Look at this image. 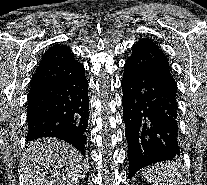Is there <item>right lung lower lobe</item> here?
<instances>
[{"label": "right lung lower lobe", "instance_id": "1", "mask_svg": "<svg viewBox=\"0 0 207 185\" xmlns=\"http://www.w3.org/2000/svg\"><path fill=\"white\" fill-rule=\"evenodd\" d=\"M85 71L28 94L27 141L42 137L62 139L84 155L89 118Z\"/></svg>", "mask_w": 207, "mask_h": 185}]
</instances>
